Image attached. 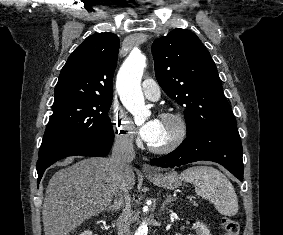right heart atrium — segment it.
Masks as SVG:
<instances>
[{"label":"right heart atrium","instance_id":"obj_1","mask_svg":"<svg viewBox=\"0 0 283 235\" xmlns=\"http://www.w3.org/2000/svg\"><path fill=\"white\" fill-rule=\"evenodd\" d=\"M111 121L115 136L120 142L125 144L135 142L137 137L135 127L122 110L113 108Z\"/></svg>","mask_w":283,"mask_h":235}]
</instances>
